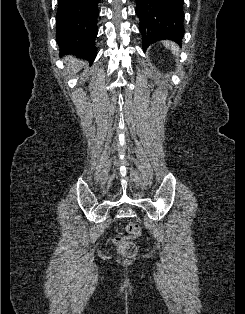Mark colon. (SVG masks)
<instances>
[{
	"instance_id": "1",
	"label": "colon",
	"mask_w": 245,
	"mask_h": 314,
	"mask_svg": "<svg viewBox=\"0 0 245 314\" xmlns=\"http://www.w3.org/2000/svg\"><path fill=\"white\" fill-rule=\"evenodd\" d=\"M125 232V234L116 235L113 243L122 256L130 258L137 252L136 244L132 239L140 236L141 228L137 223L131 222L125 226Z\"/></svg>"
}]
</instances>
